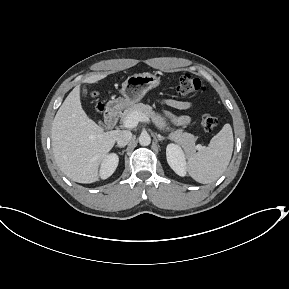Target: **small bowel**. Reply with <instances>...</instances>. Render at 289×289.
<instances>
[{
	"label": "small bowel",
	"instance_id": "1",
	"mask_svg": "<svg viewBox=\"0 0 289 289\" xmlns=\"http://www.w3.org/2000/svg\"><path fill=\"white\" fill-rule=\"evenodd\" d=\"M163 103L166 106L179 109V110H186L192 106L190 102L174 100V99L165 100ZM165 114L176 125H185L189 122V117L187 116H175L169 112H165Z\"/></svg>",
	"mask_w": 289,
	"mask_h": 289
}]
</instances>
